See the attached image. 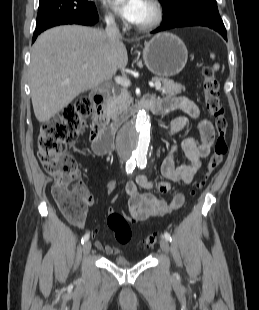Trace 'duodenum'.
<instances>
[{
	"label": "duodenum",
	"instance_id": "duodenum-1",
	"mask_svg": "<svg viewBox=\"0 0 259 310\" xmlns=\"http://www.w3.org/2000/svg\"><path fill=\"white\" fill-rule=\"evenodd\" d=\"M109 90L107 88L96 89L91 100L93 104V120L91 131L92 148L97 154H108L114 147V132L108 124L107 100ZM147 109L154 114L164 113V108L153 96H144L137 100L133 106V113Z\"/></svg>",
	"mask_w": 259,
	"mask_h": 310
}]
</instances>
